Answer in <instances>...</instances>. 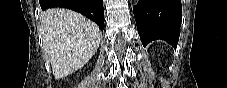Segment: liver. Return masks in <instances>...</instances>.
I'll return each instance as SVG.
<instances>
[{
	"mask_svg": "<svg viewBox=\"0 0 227 88\" xmlns=\"http://www.w3.org/2000/svg\"><path fill=\"white\" fill-rule=\"evenodd\" d=\"M45 55L55 79L82 68L97 51L101 32L98 26L74 11L48 9L41 15Z\"/></svg>",
	"mask_w": 227,
	"mask_h": 88,
	"instance_id": "6515ba94",
	"label": "liver"
}]
</instances>
